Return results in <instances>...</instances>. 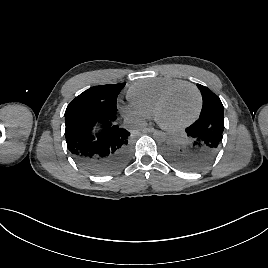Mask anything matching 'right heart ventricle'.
Wrapping results in <instances>:
<instances>
[{"instance_id": "1", "label": "right heart ventricle", "mask_w": 268, "mask_h": 268, "mask_svg": "<svg viewBox=\"0 0 268 268\" xmlns=\"http://www.w3.org/2000/svg\"><path fill=\"white\" fill-rule=\"evenodd\" d=\"M181 82L184 81L165 77L139 80L130 86L127 96L131 104L152 116L160 97Z\"/></svg>"}]
</instances>
